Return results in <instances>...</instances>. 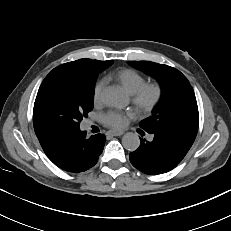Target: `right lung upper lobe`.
I'll return each mask as SVG.
<instances>
[{
    "label": "right lung upper lobe",
    "mask_w": 231,
    "mask_h": 231,
    "mask_svg": "<svg viewBox=\"0 0 231 231\" xmlns=\"http://www.w3.org/2000/svg\"><path fill=\"white\" fill-rule=\"evenodd\" d=\"M107 62L108 61L91 60L87 58L79 59L56 67L49 73V75L64 70L65 75H70L79 80H86L101 71L107 65ZM34 130L37 137L53 131L45 125L38 123H34Z\"/></svg>",
    "instance_id": "cb5924a9"
}]
</instances>
